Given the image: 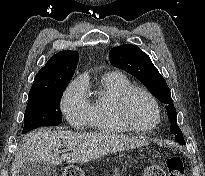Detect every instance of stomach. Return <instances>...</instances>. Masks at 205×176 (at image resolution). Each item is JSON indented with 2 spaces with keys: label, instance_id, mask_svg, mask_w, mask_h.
Segmentation results:
<instances>
[{
  "label": "stomach",
  "instance_id": "stomach-1",
  "mask_svg": "<svg viewBox=\"0 0 205 176\" xmlns=\"http://www.w3.org/2000/svg\"><path fill=\"white\" fill-rule=\"evenodd\" d=\"M143 157H144L143 155H139V156L136 157L135 161H138V160H140V159H143Z\"/></svg>",
  "mask_w": 205,
  "mask_h": 176
}]
</instances>
